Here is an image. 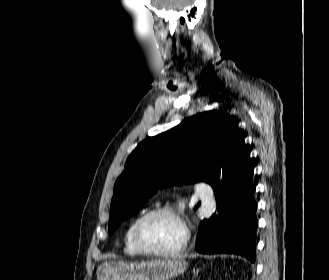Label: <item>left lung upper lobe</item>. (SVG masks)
Listing matches in <instances>:
<instances>
[{
	"label": "left lung upper lobe",
	"instance_id": "1",
	"mask_svg": "<svg viewBox=\"0 0 329 280\" xmlns=\"http://www.w3.org/2000/svg\"><path fill=\"white\" fill-rule=\"evenodd\" d=\"M244 138L229 115L206 111L145 139L115 182L109 233L138 212L156 188L199 181L214 191L225 186L240 168Z\"/></svg>",
	"mask_w": 329,
	"mask_h": 280
}]
</instances>
